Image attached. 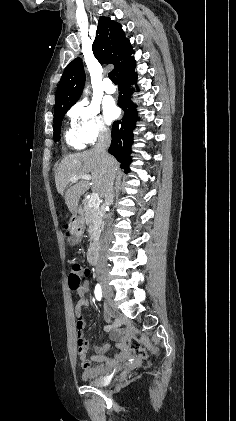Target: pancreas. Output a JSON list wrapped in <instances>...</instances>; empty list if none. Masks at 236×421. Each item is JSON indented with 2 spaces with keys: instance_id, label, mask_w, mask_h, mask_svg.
<instances>
[{
  "instance_id": "cf45deb5",
  "label": "pancreas",
  "mask_w": 236,
  "mask_h": 421,
  "mask_svg": "<svg viewBox=\"0 0 236 421\" xmlns=\"http://www.w3.org/2000/svg\"><path fill=\"white\" fill-rule=\"evenodd\" d=\"M84 204V219L86 221V225L91 227L92 235L90 241H94V243H99L100 233H101V225H102V211H100L99 206H89V198L83 200Z\"/></svg>"
}]
</instances>
